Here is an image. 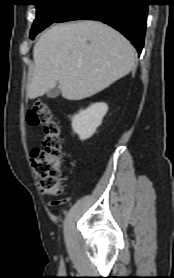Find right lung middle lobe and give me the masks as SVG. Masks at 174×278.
I'll use <instances>...</instances> for the list:
<instances>
[{"instance_id":"1","label":"right lung middle lobe","mask_w":174,"mask_h":278,"mask_svg":"<svg viewBox=\"0 0 174 278\" xmlns=\"http://www.w3.org/2000/svg\"><path fill=\"white\" fill-rule=\"evenodd\" d=\"M37 5V16L32 25L30 38L56 21L64 10L75 0H33Z\"/></svg>"}]
</instances>
